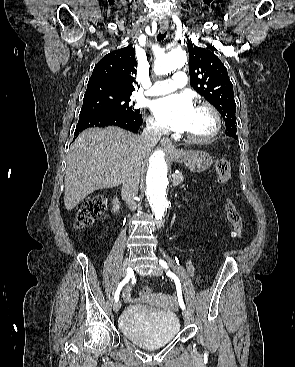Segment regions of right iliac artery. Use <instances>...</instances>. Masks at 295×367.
Here are the masks:
<instances>
[{
  "instance_id": "1",
  "label": "right iliac artery",
  "mask_w": 295,
  "mask_h": 367,
  "mask_svg": "<svg viewBox=\"0 0 295 367\" xmlns=\"http://www.w3.org/2000/svg\"><path fill=\"white\" fill-rule=\"evenodd\" d=\"M133 275H134L133 270L131 268H128L126 277L119 283L117 290L115 292L114 296L115 302L119 301V294L120 291L122 290V287L133 277Z\"/></svg>"
}]
</instances>
